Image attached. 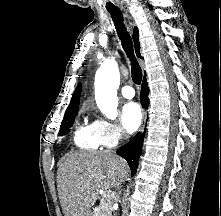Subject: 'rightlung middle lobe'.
<instances>
[{"mask_svg":"<svg viewBox=\"0 0 221 216\" xmlns=\"http://www.w3.org/2000/svg\"><path fill=\"white\" fill-rule=\"evenodd\" d=\"M76 115L77 112L64 116L60 127L59 136L64 135L67 132V130L73 125Z\"/></svg>","mask_w":221,"mask_h":216,"instance_id":"right-lung-middle-lobe-1","label":"right lung middle lobe"}]
</instances>
